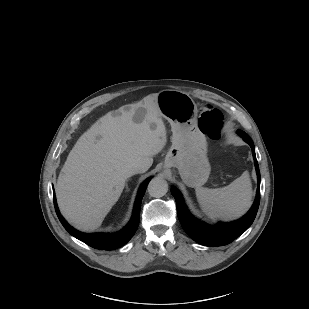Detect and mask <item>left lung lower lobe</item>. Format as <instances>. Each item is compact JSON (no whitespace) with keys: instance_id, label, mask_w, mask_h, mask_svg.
Returning a JSON list of instances; mask_svg holds the SVG:
<instances>
[{"instance_id":"1","label":"left lung lower lobe","mask_w":309,"mask_h":309,"mask_svg":"<svg viewBox=\"0 0 309 309\" xmlns=\"http://www.w3.org/2000/svg\"><path fill=\"white\" fill-rule=\"evenodd\" d=\"M238 134L250 145L255 162V168L258 178L257 194L253 206L241 219L230 223H219L216 226H209L194 218L186 208L181 194L172 189V195L176 200L177 214L179 221L185 232L196 242L205 246H223L231 243L242 233H244L253 223L259 203H260V172L255 155V148L251 138L243 131Z\"/></svg>"}]
</instances>
